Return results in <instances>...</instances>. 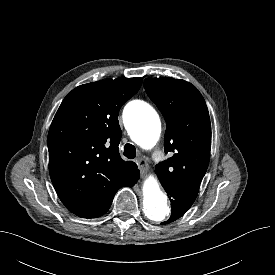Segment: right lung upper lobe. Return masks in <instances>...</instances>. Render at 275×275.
Here are the masks:
<instances>
[{"label":"right lung upper lobe","instance_id":"cb5924a9","mask_svg":"<svg viewBox=\"0 0 275 275\" xmlns=\"http://www.w3.org/2000/svg\"><path fill=\"white\" fill-rule=\"evenodd\" d=\"M141 78L101 80L73 89L49 129V170L66 208L83 218L108 211L126 186L135 163L119 155L121 106L137 93Z\"/></svg>","mask_w":275,"mask_h":275}]
</instances>
